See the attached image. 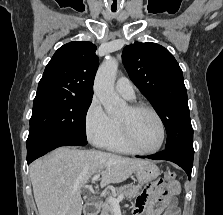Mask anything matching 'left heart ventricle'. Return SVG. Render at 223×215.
I'll return each mask as SVG.
<instances>
[{"instance_id": "1", "label": "left heart ventricle", "mask_w": 223, "mask_h": 215, "mask_svg": "<svg viewBox=\"0 0 223 215\" xmlns=\"http://www.w3.org/2000/svg\"><path fill=\"white\" fill-rule=\"evenodd\" d=\"M129 126L133 144L139 150L153 149L159 141L160 132L155 118L147 111L130 112L127 107L119 116Z\"/></svg>"}]
</instances>
